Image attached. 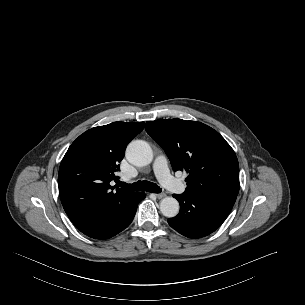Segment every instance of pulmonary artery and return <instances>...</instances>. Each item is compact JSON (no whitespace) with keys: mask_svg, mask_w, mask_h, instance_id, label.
<instances>
[{"mask_svg":"<svg viewBox=\"0 0 305 305\" xmlns=\"http://www.w3.org/2000/svg\"><path fill=\"white\" fill-rule=\"evenodd\" d=\"M153 170L157 179L163 186L171 191L181 193L185 190V185L174 178L168 168V162L164 155H158L153 163Z\"/></svg>","mask_w":305,"mask_h":305,"instance_id":"e3ab8cb5","label":"pulmonary artery"}]
</instances>
